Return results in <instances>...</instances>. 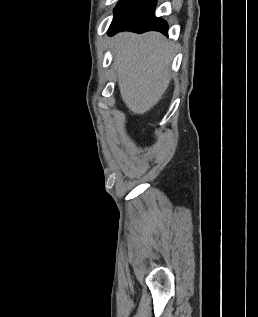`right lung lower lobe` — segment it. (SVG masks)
I'll return each mask as SVG.
<instances>
[{"label":"right lung lower lobe","instance_id":"1","mask_svg":"<svg viewBox=\"0 0 258 317\" xmlns=\"http://www.w3.org/2000/svg\"><path fill=\"white\" fill-rule=\"evenodd\" d=\"M156 0H120L114 8V19L108 34L129 30L137 33L159 31L167 34V23L155 17Z\"/></svg>","mask_w":258,"mask_h":317}]
</instances>
